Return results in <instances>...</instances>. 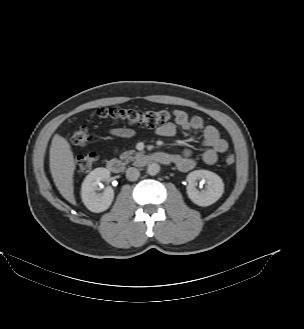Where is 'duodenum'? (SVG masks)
Returning <instances> with one entry per match:
<instances>
[{
  "label": "duodenum",
  "instance_id": "obj_1",
  "mask_svg": "<svg viewBox=\"0 0 304 329\" xmlns=\"http://www.w3.org/2000/svg\"><path fill=\"white\" fill-rule=\"evenodd\" d=\"M132 159L138 166H143L148 163L171 164L173 162L172 155L159 151L133 154ZM107 168L112 173L119 174L123 172L125 165L120 159H110L107 162Z\"/></svg>",
  "mask_w": 304,
  "mask_h": 329
}]
</instances>
